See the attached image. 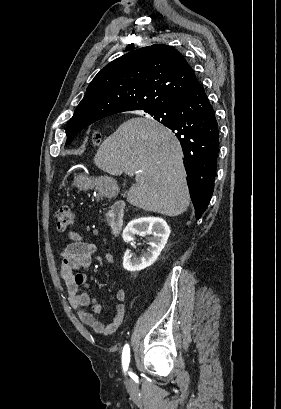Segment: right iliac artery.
I'll list each match as a JSON object with an SVG mask.
<instances>
[{"label":"right iliac artery","instance_id":"obj_1","mask_svg":"<svg viewBox=\"0 0 281 409\" xmlns=\"http://www.w3.org/2000/svg\"><path fill=\"white\" fill-rule=\"evenodd\" d=\"M129 361H130V350H129V346L125 345L123 349V353H122V363H123V368L125 371L128 369Z\"/></svg>","mask_w":281,"mask_h":409}]
</instances>
